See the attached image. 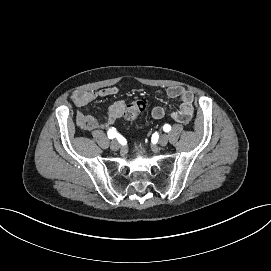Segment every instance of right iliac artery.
Wrapping results in <instances>:
<instances>
[{
  "mask_svg": "<svg viewBox=\"0 0 271 271\" xmlns=\"http://www.w3.org/2000/svg\"><path fill=\"white\" fill-rule=\"evenodd\" d=\"M107 134H108L109 139H113L118 135V133L114 127L110 128Z\"/></svg>",
  "mask_w": 271,
  "mask_h": 271,
  "instance_id": "right-iliac-artery-1",
  "label": "right iliac artery"
}]
</instances>
